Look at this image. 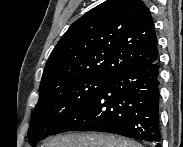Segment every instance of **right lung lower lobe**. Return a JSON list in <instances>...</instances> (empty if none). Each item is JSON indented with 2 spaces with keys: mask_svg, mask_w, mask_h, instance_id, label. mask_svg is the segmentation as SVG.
<instances>
[{
  "mask_svg": "<svg viewBox=\"0 0 183 147\" xmlns=\"http://www.w3.org/2000/svg\"><path fill=\"white\" fill-rule=\"evenodd\" d=\"M159 97L156 60L113 76L52 135L68 131H100L160 142Z\"/></svg>",
  "mask_w": 183,
  "mask_h": 147,
  "instance_id": "98d812e1",
  "label": "right lung lower lobe"
}]
</instances>
